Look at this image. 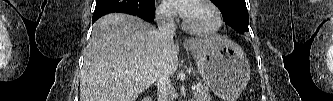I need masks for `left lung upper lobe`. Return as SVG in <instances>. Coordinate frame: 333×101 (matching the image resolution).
<instances>
[{"instance_id": "left-lung-upper-lobe-1", "label": "left lung upper lobe", "mask_w": 333, "mask_h": 101, "mask_svg": "<svg viewBox=\"0 0 333 101\" xmlns=\"http://www.w3.org/2000/svg\"><path fill=\"white\" fill-rule=\"evenodd\" d=\"M221 11L225 23L239 32H247L248 11L244 0H211Z\"/></svg>"}]
</instances>
